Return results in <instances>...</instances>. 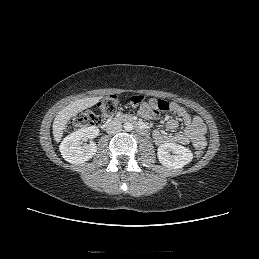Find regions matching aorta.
I'll return each mask as SVG.
<instances>
[{
	"mask_svg": "<svg viewBox=\"0 0 259 259\" xmlns=\"http://www.w3.org/2000/svg\"><path fill=\"white\" fill-rule=\"evenodd\" d=\"M124 129H125L126 131H132V130H133V124L130 123V122L124 123Z\"/></svg>",
	"mask_w": 259,
	"mask_h": 259,
	"instance_id": "762f6f07",
	"label": "aorta"
}]
</instances>
